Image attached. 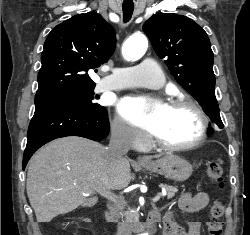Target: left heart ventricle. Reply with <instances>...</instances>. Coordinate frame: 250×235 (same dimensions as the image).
Here are the masks:
<instances>
[{
    "mask_svg": "<svg viewBox=\"0 0 250 235\" xmlns=\"http://www.w3.org/2000/svg\"><path fill=\"white\" fill-rule=\"evenodd\" d=\"M199 120L188 107H164L157 114L152 133L169 144H183L192 141L198 133Z\"/></svg>",
    "mask_w": 250,
    "mask_h": 235,
    "instance_id": "left-heart-ventricle-1",
    "label": "left heart ventricle"
}]
</instances>
